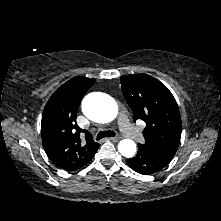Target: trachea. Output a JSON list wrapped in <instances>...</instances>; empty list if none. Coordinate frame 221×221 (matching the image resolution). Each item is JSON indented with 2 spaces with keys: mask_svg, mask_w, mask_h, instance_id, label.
<instances>
[{
  "mask_svg": "<svg viewBox=\"0 0 221 221\" xmlns=\"http://www.w3.org/2000/svg\"><path fill=\"white\" fill-rule=\"evenodd\" d=\"M114 136H116V133L114 131H101L97 134L96 139L100 140L105 137H114Z\"/></svg>",
  "mask_w": 221,
  "mask_h": 221,
  "instance_id": "trachea-1",
  "label": "trachea"
}]
</instances>
